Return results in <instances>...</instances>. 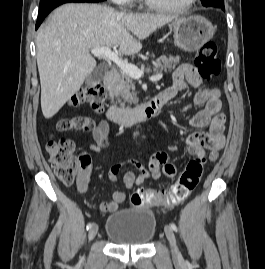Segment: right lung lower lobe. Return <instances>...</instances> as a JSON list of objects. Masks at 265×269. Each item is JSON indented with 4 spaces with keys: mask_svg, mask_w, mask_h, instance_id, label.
I'll use <instances>...</instances> for the list:
<instances>
[{
    "mask_svg": "<svg viewBox=\"0 0 265 269\" xmlns=\"http://www.w3.org/2000/svg\"><path fill=\"white\" fill-rule=\"evenodd\" d=\"M105 0H40V7H39V13H38V19L36 23V29L40 26L44 18L49 14L50 11H52L57 6L69 3V2H77V3H97L102 2Z\"/></svg>",
    "mask_w": 265,
    "mask_h": 269,
    "instance_id": "right-lung-lower-lobe-1",
    "label": "right lung lower lobe"
}]
</instances>
